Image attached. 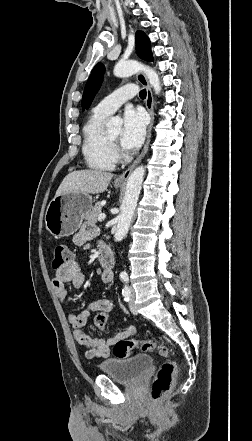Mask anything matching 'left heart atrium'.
<instances>
[{"instance_id": "left-heart-atrium-1", "label": "left heart atrium", "mask_w": 252, "mask_h": 441, "mask_svg": "<svg viewBox=\"0 0 252 441\" xmlns=\"http://www.w3.org/2000/svg\"><path fill=\"white\" fill-rule=\"evenodd\" d=\"M146 123V115L141 109L128 107L125 110L120 137V144L125 150L134 151L141 146L146 134Z\"/></svg>"}]
</instances>
